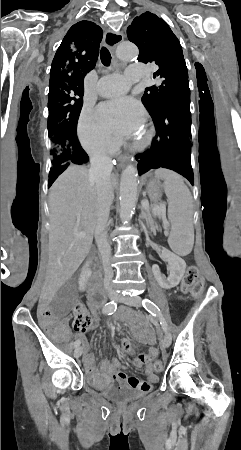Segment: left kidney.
I'll return each mask as SVG.
<instances>
[{
  "label": "left kidney",
  "mask_w": 241,
  "mask_h": 450,
  "mask_svg": "<svg viewBox=\"0 0 241 450\" xmlns=\"http://www.w3.org/2000/svg\"><path fill=\"white\" fill-rule=\"evenodd\" d=\"M161 256L168 262L169 276L166 278V276L161 274L158 266H152L153 276L161 288L170 290V288H175L181 282L185 274L186 264L182 258L176 256V254H172L169 250H165V248H162Z\"/></svg>",
  "instance_id": "5707ae66"
}]
</instances>
